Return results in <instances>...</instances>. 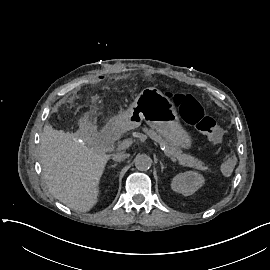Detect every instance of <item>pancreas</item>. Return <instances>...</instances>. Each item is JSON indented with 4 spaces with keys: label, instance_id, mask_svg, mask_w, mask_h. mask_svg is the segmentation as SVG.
Segmentation results:
<instances>
[{
    "label": "pancreas",
    "instance_id": "cf45deb5",
    "mask_svg": "<svg viewBox=\"0 0 270 270\" xmlns=\"http://www.w3.org/2000/svg\"><path fill=\"white\" fill-rule=\"evenodd\" d=\"M145 131L148 132L149 137L158 143L160 146H163L166 148L165 154L169 157H175L176 160H179L180 164H182L185 167H192L196 170L203 171V172H211V168L207 167L204 165V162L200 161L199 159L192 157V156H186L185 154H181V152H176L174 149L169 148L168 144L166 141L161 139V136L156 133L153 130H147L146 128L144 129Z\"/></svg>",
    "mask_w": 270,
    "mask_h": 270
}]
</instances>
